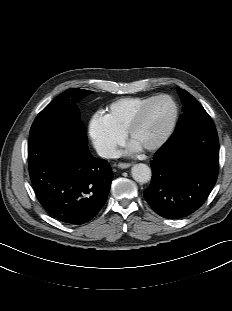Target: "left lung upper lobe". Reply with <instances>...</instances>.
<instances>
[{
	"instance_id": "1",
	"label": "left lung upper lobe",
	"mask_w": 232,
	"mask_h": 311,
	"mask_svg": "<svg viewBox=\"0 0 232 311\" xmlns=\"http://www.w3.org/2000/svg\"><path fill=\"white\" fill-rule=\"evenodd\" d=\"M178 92L183 102V114L181 115L177 126L184 122L192 121L198 118L209 116L201 104L186 90L178 88Z\"/></svg>"
}]
</instances>
